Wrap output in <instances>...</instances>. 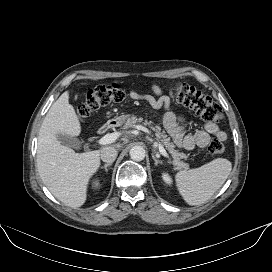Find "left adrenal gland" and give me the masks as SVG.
Segmentation results:
<instances>
[{"label":"left adrenal gland","instance_id":"a2214340","mask_svg":"<svg viewBox=\"0 0 272 272\" xmlns=\"http://www.w3.org/2000/svg\"><path fill=\"white\" fill-rule=\"evenodd\" d=\"M152 158H153L156 166H158V164H162V161L158 160L157 157L154 154H152Z\"/></svg>","mask_w":272,"mask_h":272}]
</instances>
